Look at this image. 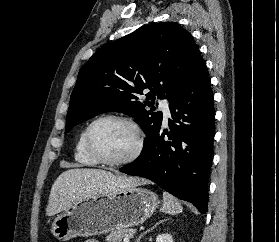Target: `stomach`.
I'll return each mask as SVG.
<instances>
[{
	"mask_svg": "<svg viewBox=\"0 0 279 242\" xmlns=\"http://www.w3.org/2000/svg\"><path fill=\"white\" fill-rule=\"evenodd\" d=\"M158 205L157 195L145 188L129 187L99 193L74 202L54 217L51 233L60 241L105 234L142 224Z\"/></svg>",
	"mask_w": 279,
	"mask_h": 242,
	"instance_id": "1",
	"label": "stomach"
}]
</instances>
